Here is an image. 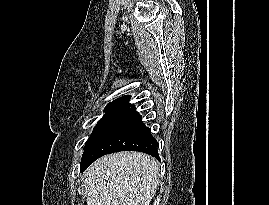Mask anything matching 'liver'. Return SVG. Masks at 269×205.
Wrapping results in <instances>:
<instances>
[{"label":"liver","mask_w":269,"mask_h":205,"mask_svg":"<svg viewBox=\"0 0 269 205\" xmlns=\"http://www.w3.org/2000/svg\"><path fill=\"white\" fill-rule=\"evenodd\" d=\"M158 162L143 153L104 156L84 173L87 205H150L157 187Z\"/></svg>","instance_id":"6515ba94"}]
</instances>
